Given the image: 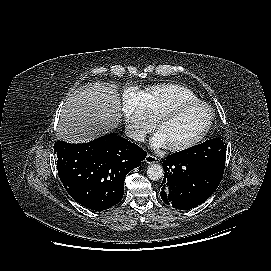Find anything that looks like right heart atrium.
Segmentation results:
<instances>
[{
	"label": "right heart atrium",
	"mask_w": 271,
	"mask_h": 271,
	"mask_svg": "<svg viewBox=\"0 0 271 271\" xmlns=\"http://www.w3.org/2000/svg\"><path fill=\"white\" fill-rule=\"evenodd\" d=\"M122 116L128 135L135 141H143L153 127L146 108L145 95L137 88L126 90Z\"/></svg>",
	"instance_id": "right-heart-atrium-1"
}]
</instances>
